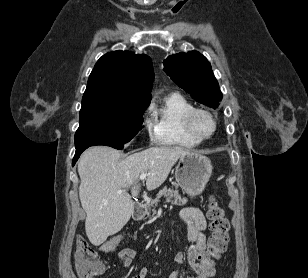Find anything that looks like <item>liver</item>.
Segmentation results:
<instances>
[{"label": "liver", "instance_id": "1", "mask_svg": "<svg viewBox=\"0 0 308 278\" xmlns=\"http://www.w3.org/2000/svg\"><path fill=\"white\" fill-rule=\"evenodd\" d=\"M190 151L180 147H151L120 160V151L107 146L88 148L78 162L81 179L79 197L86 212L89 241L99 246L129 221L140 189L138 178L148 173L146 187L154 190L164 183L177 160ZM122 190L121 194L117 191Z\"/></svg>", "mask_w": 308, "mask_h": 278}]
</instances>
